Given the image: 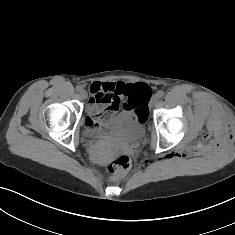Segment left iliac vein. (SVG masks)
Segmentation results:
<instances>
[{"mask_svg":"<svg viewBox=\"0 0 235 235\" xmlns=\"http://www.w3.org/2000/svg\"><path fill=\"white\" fill-rule=\"evenodd\" d=\"M158 101V98L156 95L152 96L151 100H150V107H154L156 105Z\"/></svg>","mask_w":235,"mask_h":235,"instance_id":"4c4485c4","label":"left iliac vein"}]
</instances>
